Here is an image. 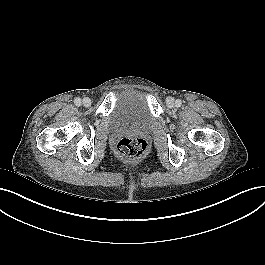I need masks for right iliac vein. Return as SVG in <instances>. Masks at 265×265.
Here are the masks:
<instances>
[{"label": "right iliac vein", "instance_id": "63e3f726", "mask_svg": "<svg viewBox=\"0 0 265 265\" xmlns=\"http://www.w3.org/2000/svg\"><path fill=\"white\" fill-rule=\"evenodd\" d=\"M91 104H92V101H91L90 98L85 97V98L83 99V105H84L85 107H89Z\"/></svg>", "mask_w": 265, "mask_h": 265}]
</instances>
